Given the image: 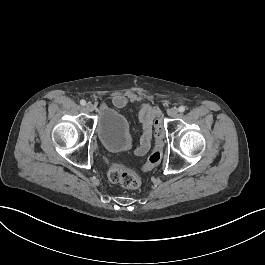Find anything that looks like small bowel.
<instances>
[{"mask_svg":"<svg viewBox=\"0 0 265 265\" xmlns=\"http://www.w3.org/2000/svg\"><path fill=\"white\" fill-rule=\"evenodd\" d=\"M129 102H138L140 104L139 118L143 124L144 136L141 145L136 149L135 153L138 156H143L149 150L152 136L151 128L159 110L149 104V102L143 101V99L134 93L122 94L115 92L112 95V103L117 108H123Z\"/></svg>","mask_w":265,"mask_h":265,"instance_id":"obj_1","label":"small bowel"}]
</instances>
